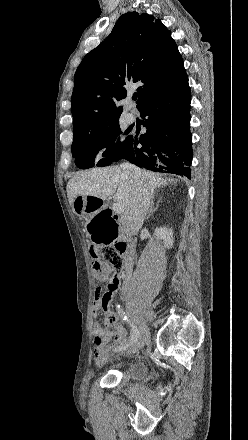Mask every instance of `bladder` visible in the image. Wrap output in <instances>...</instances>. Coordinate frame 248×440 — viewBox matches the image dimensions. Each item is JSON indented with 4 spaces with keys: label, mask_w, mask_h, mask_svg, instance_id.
Wrapping results in <instances>:
<instances>
[{
    "label": "bladder",
    "mask_w": 248,
    "mask_h": 440,
    "mask_svg": "<svg viewBox=\"0 0 248 440\" xmlns=\"http://www.w3.org/2000/svg\"><path fill=\"white\" fill-rule=\"evenodd\" d=\"M147 367L142 363H130L121 371V378L127 382L138 381L146 377Z\"/></svg>",
    "instance_id": "1"
}]
</instances>
